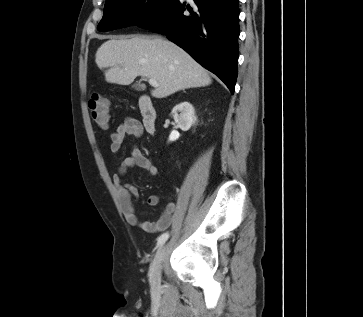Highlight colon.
<instances>
[{
	"label": "colon",
	"instance_id": "colon-1",
	"mask_svg": "<svg viewBox=\"0 0 363 317\" xmlns=\"http://www.w3.org/2000/svg\"><path fill=\"white\" fill-rule=\"evenodd\" d=\"M88 109L93 121L105 128L109 121V102L106 98L94 95L88 101Z\"/></svg>",
	"mask_w": 363,
	"mask_h": 317
}]
</instances>
